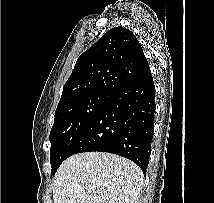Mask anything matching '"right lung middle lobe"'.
I'll use <instances>...</instances> for the list:
<instances>
[{"instance_id": "1", "label": "right lung middle lobe", "mask_w": 214, "mask_h": 203, "mask_svg": "<svg viewBox=\"0 0 214 203\" xmlns=\"http://www.w3.org/2000/svg\"><path fill=\"white\" fill-rule=\"evenodd\" d=\"M109 96L106 93H92L57 107L49 136L52 174L68 158L70 149L95 120Z\"/></svg>"}]
</instances>
